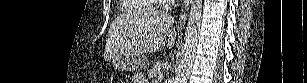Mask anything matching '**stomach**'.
I'll return each instance as SVG.
<instances>
[{"instance_id": "0dacf381", "label": "stomach", "mask_w": 307, "mask_h": 83, "mask_svg": "<svg viewBox=\"0 0 307 83\" xmlns=\"http://www.w3.org/2000/svg\"><path fill=\"white\" fill-rule=\"evenodd\" d=\"M147 59L142 55H117L112 58V65L119 71H137L144 68Z\"/></svg>"}]
</instances>
